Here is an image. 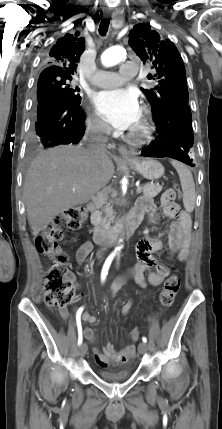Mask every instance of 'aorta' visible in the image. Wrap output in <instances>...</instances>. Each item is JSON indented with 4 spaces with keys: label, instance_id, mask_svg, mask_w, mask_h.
<instances>
[{
    "label": "aorta",
    "instance_id": "762f6f07",
    "mask_svg": "<svg viewBox=\"0 0 222 429\" xmlns=\"http://www.w3.org/2000/svg\"><path fill=\"white\" fill-rule=\"evenodd\" d=\"M126 58V50L122 47H111L103 52L101 55L102 64L106 67H111L123 61ZM122 246L115 248V251H120Z\"/></svg>",
    "mask_w": 222,
    "mask_h": 429
}]
</instances>
